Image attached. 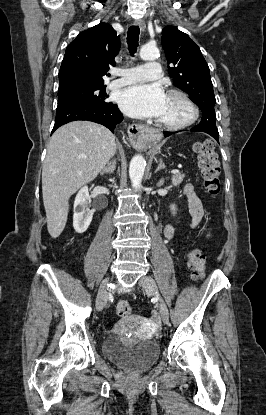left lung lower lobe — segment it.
<instances>
[{
    "label": "left lung lower lobe",
    "instance_id": "1",
    "mask_svg": "<svg viewBox=\"0 0 266 415\" xmlns=\"http://www.w3.org/2000/svg\"><path fill=\"white\" fill-rule=\"evenodd\" d=\"M191 131H194L193 128L191 129ZM174 133H176V132H167L166 131V132H164V137H168V136H170L171 134H174ZM214 138L219 142V136L218 137L214 136Z\"/></svg>",
    "mask_w": 266,
    "mask_h": 415
}]
</instances>
